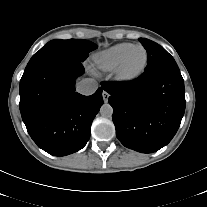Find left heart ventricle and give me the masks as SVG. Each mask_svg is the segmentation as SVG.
Returning a JSON list of instances; mask_svg holds the SVG:
<instances>
[{"mask_svg":"<svg viewBox=\"0 0 207 207\" xmlns=\"http://www.w3.org/2000/svg\"><path fill=\"white\" fill-rule=\"evenodd\" d=\"M143 62H144L143 50L140 48L134 49L131 52L126 62L125 65L126 72L131 73L137 71L142 66Z\"/></svg>","mask_w":207,"mask_h":207,"instance_id":"1","label":"left heart ventricle"}]
</instances>
